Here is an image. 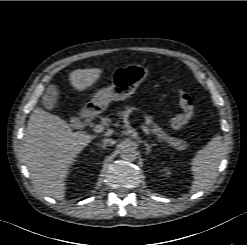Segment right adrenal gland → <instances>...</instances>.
Masks as SVG:
<instances>
[{
    "instance_id": "obj_1",
    "label": "right adrenal gland",
    "mask_w": 247,
    "mask_h": 245,
    "mask_svg": "<svg viewBox=\"0 0 247 245\" xmlns=\"http://www.w3.org/2000/svg\"><path fill=\"white\" fill-rule=\"evenodd\" d=\"M97 145H99V146L102 147L103 149H106V147H107V145H105V144H97Z\"/></svg>"
}]
</instances>
